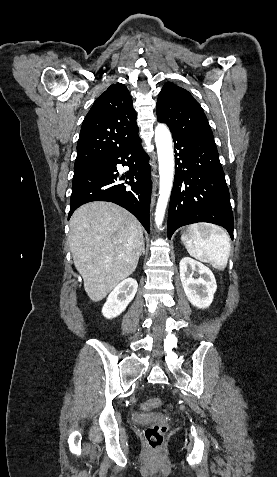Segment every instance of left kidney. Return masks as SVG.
<instances>
[{
	"label": "left kidney",
	"mask_w": 277,
	"mask_h": 477,
	"mask_svg": "<svg viewBox=\"0 0 277 477\" xmlns=\"http://www.w3.org/2000/svg\"><path fill=\"white\" fill-rule=\"evenodd\" d=\"M179 267L180 279L187 299L199 309L208 308L217 289L212 271L189 257L182 258Z\"/></svg>",
	"instance_id": "obj_1"
}]
</instances>
